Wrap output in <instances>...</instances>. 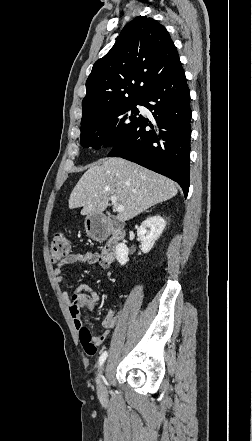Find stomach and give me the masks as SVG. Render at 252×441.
<instances>
[{"mask_svg":"<svg viewBox=\"0 0 252 441\" xmlns=\"http://www.w3.org/2000/svg\"><path fill=\"white\" fill-rule=\"evenodd\" d=\"M91 226H92V217L87 216V218L85 220V229L88 234H91Z\"/></svg>","mask_w":252,"mask_h":441,"instance_id":"obj_1","label":"stomach"}]
</instances>
